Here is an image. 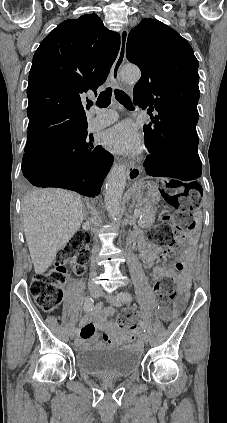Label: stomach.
Returning <instances> with one entry per match:
<instances>
[{
    "label": "stomach",
    "mask_w": 227,
    "mask_h": 423,
    "mask_svg": "<svg viewBox=\"0 0 227 423\" xmlns=\"http://www.w3.org/2000/svg\"><path fill=\"white\" fill-rule=\"evenodd\" d=\"M131 194L142 206H155L159 202L161 196L155 182H149L148 178H142L131 188Z\"/></svg>",
    "instance_id": "obj_1"
}]
</instances>
